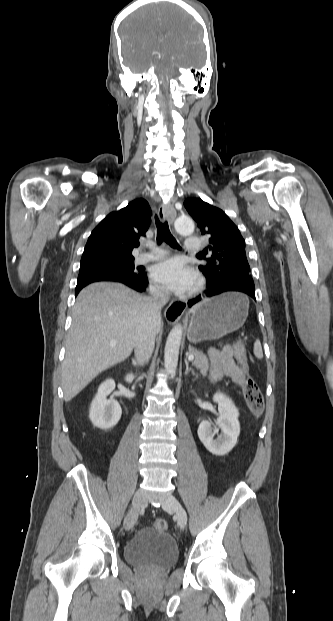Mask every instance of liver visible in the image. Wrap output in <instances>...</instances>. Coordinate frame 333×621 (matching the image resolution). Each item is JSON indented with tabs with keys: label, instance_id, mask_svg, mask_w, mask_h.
Wrapping results in <instances>:
<instances>
[{
	"label": "liver",
	"instance_id": "obj_1",
	"mask_svg": "<svg viewBox=\"0 0 333 621\" xmlns=\"http://www.w3.org/2000/svg\"><path fill=\"white\" fill-rule=\"evenodd\" d=\"M145 316L144 298L122 284L99 282L81 290L73 307L62 364L65 401L73 399L99 373L130 356Z\"/></svg>",
	"mask_w": 333,
	"mask_h": 621
}]
</instances>
